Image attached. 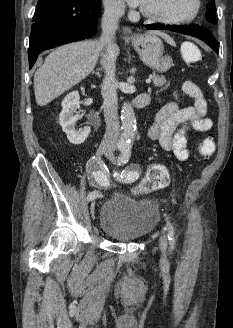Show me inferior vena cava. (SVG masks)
<instances>
[{"instance_id": "obj_1", "label": "inferior vena cava", "mask_w": 233, "mask_h": 328, "mask_svg": "<svg viewBox=\"0 0 233 328\" xmlns=\"http://www.w3.org/2000/svg\"><path fill=\"white\" fill-rule=\"evenodd\" d=\"M124 8V4L117 1L105 2L101 23L102 34L100 43L104 49L101 54V64L105 69L101 93L104 98L103 108L106 131L100 144V149L109 154H113L115 151L120 134L116 92L117 82L115 78L116 56L113 53V48L115 46V31L118 28L119 18L124 14Z\"/></svg>"}]
</instances>
